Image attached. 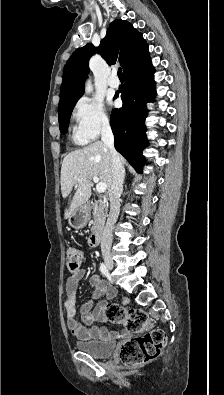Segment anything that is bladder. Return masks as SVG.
Segmentation results:
<instances>
[{
	"label": "bladder",
	"mask_w": 224,
	"mask_h": 395,
	"mask_svg": "<svg viewBox=\"0 0 224 395\" xmlns=\"http://www.w3.org/2000/svg\"><path fill=\"white\" fill-rule=\"evenodd\" d=\"M75 346L80 352L86 353L96 358L109 357L115 350V343L113 341H77Z\"/></svg>",
	"instance_id": "31cf9c89"
}]
</instances>
